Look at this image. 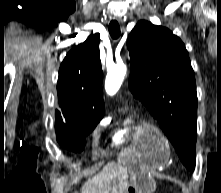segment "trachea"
I'll use <instances>...</instances> for the list:
<instances>
[{"label": "trachea", "instance_id": "1", "mask_svg": "<svg viewBox=\"0 0 221 193\" xmlns=\"http://www.w3.org/2000/svg\"><path fill=\"white\" fill-rule=\"evenodd\" d=\"M109 33L113 39H118L120 36V26L116 20H112L109 24Z\"/></svg>", "mask_w": 221, "mask_h": 193}]
</instances>
